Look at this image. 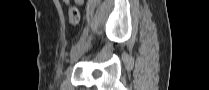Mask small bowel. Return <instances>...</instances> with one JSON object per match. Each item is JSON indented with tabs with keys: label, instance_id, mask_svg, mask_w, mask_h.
<instances>
[{
	"label": "small bowel",
	"instance_id": "small-bowel-1",
	"mask_svg": "<svg viewBox=\"0 0 209 90\" xmlns=\"http://www.w3.org/2000/svg\"><path fill=\"white\" fill-rule=\"evenodd\" d=\"M65 3H66V5H69L70 4L69 1H65Z\"/></svg>",
	"mask_w": 209,
	"mask_h": 90
}]
</instances>
